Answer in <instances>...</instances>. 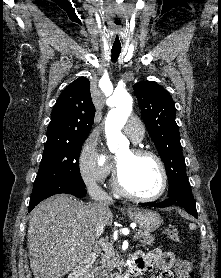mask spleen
I'll list each match as a JSON object with an SVG mask.
<instances>
[{
    "mask_svg": "<svg viewBox=\"0 0 221 278\" xmlns=\"http://www.w3.org/2000/svg\"><path fill=\"white\" fill-rule=\"evenodd\" d=\"M189 227H190V229H196V225L195 224H193V223H191L190 225H189Z\"/></svg>",
    "mask_w": 221,
    "mask_h": 278,
    "instance_id": "obj_1",
    "label": "spleen"
}]
</instances>
